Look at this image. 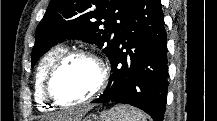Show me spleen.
I'll return each instance as SVG.
<instances>
[{
	"mask_svg": "<svg viewBox=\"0 0 217 121\" xmlns=\"http://www.w3.org/2000/svg\"><path fill=\"white\" fill-rule=\"evenodd\" d=\"M103 121H146L140 111L129 105H114L108 112L102 114Z\"/></svg>",
	"mask_w": 217,
	"mask_h": 121,
	"instance_id": "1",
	"label": "spleen"
}]
</instances>
